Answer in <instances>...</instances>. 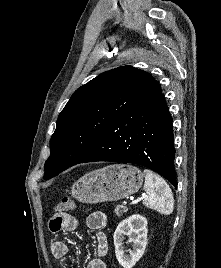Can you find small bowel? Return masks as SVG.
<instances>
[{"mask_svg": "<svg viewBox=\"0 0 221 268\" xmlns=\"http://www.w3.org/2000/svg\"><path fill=\"white\" fill-rule=\"evenodd\" d=\"M107 217L101 211L91 213L86 219V225L89 229L96 231L95 239L97 244V257L90 260L86 268H107L104 257L108 252V239L104 232L99 231L106 224ZM77 226V221L71 215L54 214L49 220V229L52 233L61 231H71ZM69 252V247L65 242L55 241L51 244V253L53 257L61 259Z\"/></svg>", "mask_w": 221, "mask_h": 268, "instance_id": "1", "label": "small bowel"}]
</instances>
